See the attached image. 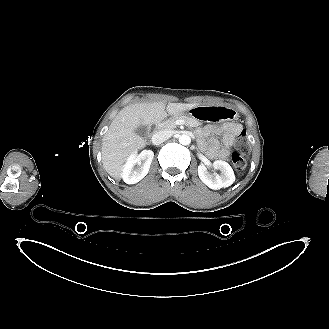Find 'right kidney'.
<instances>
[{
  "mask_svg": "<svg viewBox=\"0 0 329 329\" xmlns=\"http://www.w3.org/2000/svg\"><path fill=\"white\" fill-rule=\"evenodd\" d=\"M154 153L151 150H143L137 155V152H132L127 158L123 166L121 177L127 184H135L142 180L149 172ZM138 164L139 167L135 168Z\"/></svg>",
  "mask_w": 329,
  "mask_h": 329,
  "instance_id": "right-kidney-1",
  "label": "right kidney"
}]
</instances>
